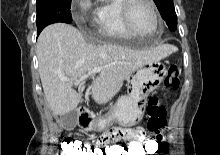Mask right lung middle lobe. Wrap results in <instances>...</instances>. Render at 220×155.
Returning a JSON list of instances; mask_svg holds the SVG:
<instances>
[{
    "instance_id": "right-lung-middle-lobe-1",
    "label": "right lung middle lobe",
    "mask_w": 220,
    "mask_h": 155,
    "mask_svg": "<svg viewBox=\"0 0 220 155\" xmlns=\"http://www.w3.org/2000/svg\"><path fill=\"white\" fill-rule=\"evenodd\" d=\"M70 6L71 0H37L36 23L38 32H41L44 27L52 23H71Z\"/></svg>"
}]
</instances>
